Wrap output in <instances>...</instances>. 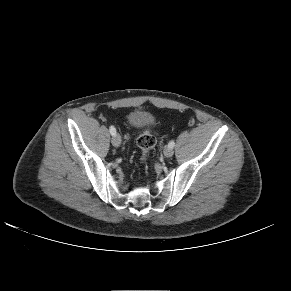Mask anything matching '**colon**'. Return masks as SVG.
Masks as SVG:
<instances>
[{"mask_svg": "<svg viewBox=\"0 0 291 291\" xmlns=\"http://www.w3.org/2000/svg\"><path fill=\"white\" fill-rule=\"evenodd\" d=\"M156 138L150 132V130L145 129L137 138V145L142 151L141 159L145 161L149 151L155 146Z\"/></svg>", "mask_w": 291, "mask_h": 291, "instance_id": "obj_1", "label": "colon"}]
</instances>
